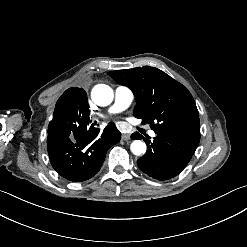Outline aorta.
<instances>
[{"label":"aorta","mask_w":247,"mask_h":247,"mask_svg":"<svg viewBox=\"0 0 247 247\" xmlns=\"http://www.w3.org/2000/svg\"><path fill=\"white\" fill-rule=\"evenodd\" d=\"M114 94L110 86L98 84L91 91V98L98 106H107L113 100ZM131 151L134 155H141L146 152V144L141 140H134L131 143Z\"/></svg>","instance_id":"762f6f07"}]
</instances>
